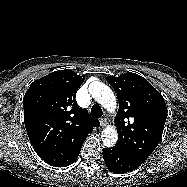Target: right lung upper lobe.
<instances>
[{
  "instance_id": "1",
  "label": "right lung upper lobe",
  "mask_w": 187,
  "mask_h": 187,
  "mask_svg": "<svg viewBox=\"0 0 187 187\" xmlns=\"http://www.w3.org/2000/svg\"><path fill=\"white\" fill-rule=\"evenodd\" d=\"M85 77L72 70L54 71L34 81L25 93L24 123L36 153L55 167L69 165L99 121L77 105Z\"/></svg>"
}]
</instances>
